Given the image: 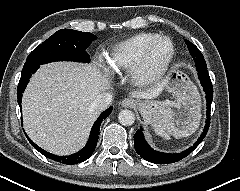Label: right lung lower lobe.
I'll list each match as a JSON object with an SVG mask.
<instances>
[{"instance_id": "right-lung-lower-lobe-1", "label": "right lung lower lobe", "mask_w": 240, "mask_h": 191, "mask_svg": "<svg viewBox=\"0 0 240 191\" xmlns=\"http://www.w3.org/2000/svg\"><path fill=\"white\" fill-rule=\"evenodd\" d=\"M39 67L40 66H35V67L29 68L27 70H22V75H21V78H20V81L18 84V88H17V98H18L17 101L20 106V110H21L22 94H23L32 74H34ZM111 112H112V107H110L109 109H107L106 111L101 113V115L98 117V119L96 120V122L94 123V125L91 129V133H90L87 144L85 145V147L83 149H81L79 152H77L75 154H72L69 156L53 155V154L41 149L40 147H38L30 139H29V141L41 154H43L45 157H47L49 159H52L54 161H57V162H60L63 164H67V165L80 163V162L85 161L88 158H90V156L94 152L95 147L97 145V141H98L100 124L103 121V119H105L106 117H108L111 114Z\"/></svg>"}]
</instances>
